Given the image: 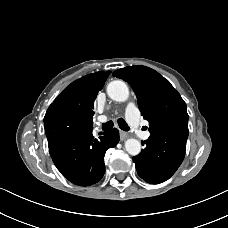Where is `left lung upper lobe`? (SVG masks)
I'll list each match as a JSON object with an SVG mask.
<instances>
[{
  "label": "left lung upper lobe",
  "mask_w": 228,
  "mask_h": 228,
  "mask_svg": "<svg viewBox=\"0 0 228 228\" xmlns=\"http://www.w3.org/2000/svg\"><path fill=\"white\" fill-rule=\"evenodd\" d=\"M134 90L142 116L149 122L150 134H167L186 142L188 114L186 103L170 82L146 66H129L113 72Z\"/></svg>",
  "instance_id": "5c2ea615"
}]
</instances>
